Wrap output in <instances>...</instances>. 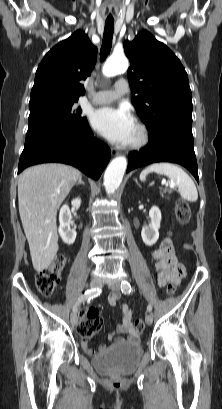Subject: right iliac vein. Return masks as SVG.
<instances>
[{
	"mask_svg": "<svg viewBox=\"0 0 222 409\" xmlns=\"http://www.w3.org/2000/svg\"><path fill=\"white\" fill-rule=\"evenodd\" d=\"M102 284H103V282H102V280L100 279V278H94V279H92L91 280V282H90V287L91 288H98V287H101L102 286ZM71 324L72 325H77V323H78V318H77V316H76V314H71Z\"/></svg>",
	"mask_w": 222,
	"mask_h": 409,
	"instance_id": "right-iliac-vein-1",
	"label": "right iliac vein"
}]
</instances>
